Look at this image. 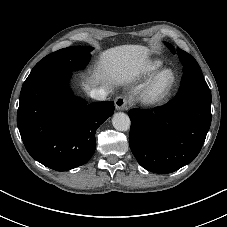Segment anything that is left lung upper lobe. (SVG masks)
I'll use <instances>...</instances> for the list:
<instances>
[{"mask_svg":"<svg viewBox=\"0 0 227 227\" xmlns=\"http://www.w3.org/2000/svg\"><path fill=\"white\" fill-rule=\"evenodd\" d=\"M167 47L174 53L171 44ZM180 61L183 64L184 75L182 77L181 88L175 100H200L211 102V92L203 78L202 71L197 61L187 52L177 49Z\"/></svg>","mask_w":227,"mask_h":227,"instance_id":"left-lung-upper-lobe-1","label":"left lung upper lobe"}]
</instances>
